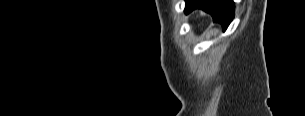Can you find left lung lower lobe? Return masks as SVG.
Here are the masks:
<instances>
[{
	"instance_id": "1",
	"label": "left lung lower lobe",
	"mask_w": 305,
	"mask_h": 116,
	"mask_svg": "<svg viewBox=\"0 0 305 116\" xmlns=\"http://www.w3.org/2000/svg\"><path fill=\"white\" fill-rule=\"evenodd\" d=\"M201 8L213 16L215 22H220L225 30L234 16L232 0H186V12Z\"/></svg>"
}]
</instances>
